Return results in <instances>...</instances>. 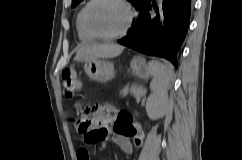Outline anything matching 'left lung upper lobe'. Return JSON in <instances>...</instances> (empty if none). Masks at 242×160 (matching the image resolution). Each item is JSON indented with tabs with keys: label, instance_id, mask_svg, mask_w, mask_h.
<instances>
[{
	"label": "left lung upper lobe",
	"instance_id": "left-lung-upper-lobe-1",
	"mask_svg": "<svg viewBox=\"0 0 242 160\" xmlns=\"http://www.w3.org/2000/svg\"><path fill=\"white\" fill-rule=\"evenodd\" d=\"M146 0H129L133 4V6L136 8V10H140ZM81 0H72V7L77 6L78 3H80Z\"/></svg>",
	"mask_w": 242,
	"mask_h": 160
}]
</instances>
